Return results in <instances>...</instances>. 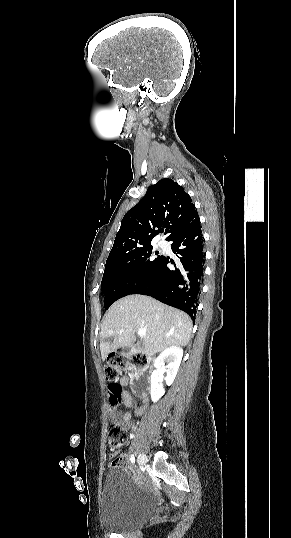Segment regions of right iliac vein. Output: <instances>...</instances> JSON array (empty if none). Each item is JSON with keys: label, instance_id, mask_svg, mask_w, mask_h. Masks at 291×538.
<instances>
[{"label": "right iliac vein", "instance_id": "right-iliac-vein-1", "mask_svg": "<svg viewBox=\"0 0 291 538\" xmlns=\"http://www.w3.org/2000/svg\"><path fill=\"white\" fill-rule=\"evenodd\" d=\"M138 464L139 465H145L147 463V456L145 453H141L138 456Z\"/></svg>", "mask_w": 291, "mask_h": 538}]
</instances>
